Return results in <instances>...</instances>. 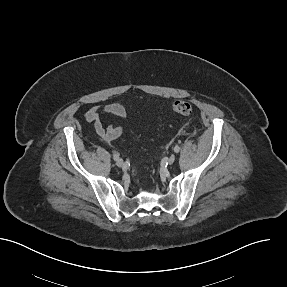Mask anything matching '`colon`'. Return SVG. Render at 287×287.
Listing matches in <instances>:
<instances>
[{
	"mask_svg": "<svg viewBox=\"0 0 287 287\" xmlns=\"http://www.w3.org/2000/svg\"><path fill=\"white\" fill-rule=\"evenodd\" d=\"M172 110L176 114L187 116L192 113L193 105L185 100H177L172 104Z\"/></svg>",
	"mask_w": 287,
	"mask_h": 287,
	"instance_id": "1",
	"label": "colon"
}]
</instances>
